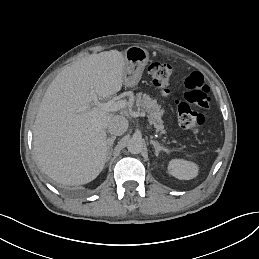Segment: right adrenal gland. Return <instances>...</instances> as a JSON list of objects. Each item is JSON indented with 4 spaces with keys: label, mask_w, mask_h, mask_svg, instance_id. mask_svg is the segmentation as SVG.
Segmentation results:
<instances>
[{
    "label": "right adrenal gland",
    "mask_w": 259,
    "mask_h": 259,
    "mask_svg": "<svg viewBox=\"0 0 259 259\" xmlns=\"http://www.w3.org/2000/svg\"><path fill=\"white\" fill-rule=\"evenodd\" d=\"M115 141V137H108L107 139V148H108V159L110 158V152L113 149V142Z\"/></svg>",
    "instance_id": "obj_1"
}]
</instances>
